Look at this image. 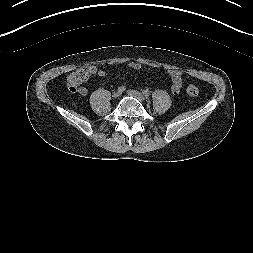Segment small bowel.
<instances>
[{
	"label": "small bowel",
	"mask_w": 253,
	"mask_h": 253,
	"mask_svg": "<svg viewBox=\"0 0 253 253\" xmlns=\"http://www.w3.org/2000/svg\"><path fill=\"white\" fill-rule=\"evenodd\" d=\"M128 67H130L132 69H140L142 67V65L138 62H132V63L128 64ZM89 68L91 70V73H96L101 77L106 74V72L104 70H97V68L94 67V66H90ZM166 73L171 78V82H172L171 89H172V91L175 94H177L178 92H180V90L182 88L181 73L177 70H174V69H168L166 71ZM78 93L81 94V95H86L87 94V88L82 86L80 88V90L78 91Z\"/></svg>",
	"instance_id": "c3829d8e"
}]
</instances>
